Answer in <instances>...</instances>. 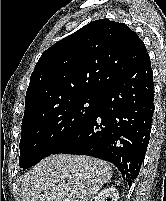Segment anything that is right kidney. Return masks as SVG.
Returning <instances> with one entry per match:
<instances>
[{"label":"right kidney","mask_w":166,"mask_h":201,"mask_svg":"<svg viewBox=\"0 0 166 201\" xmlns=\"http://www.w3.org/2000/svg\"><path fill=\"white\" fill-rule=\"evenodd\" d=\"M108 198L112 199V201H118L119 192L114 186L103 189L99 194H97L94 201H107Z\"/></svg>","instance_id":"right-kidney-1"}]
</instances>
